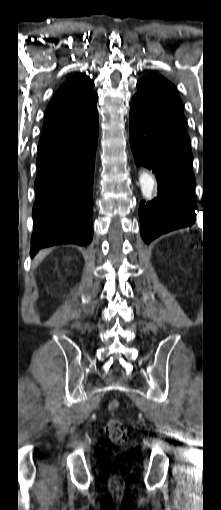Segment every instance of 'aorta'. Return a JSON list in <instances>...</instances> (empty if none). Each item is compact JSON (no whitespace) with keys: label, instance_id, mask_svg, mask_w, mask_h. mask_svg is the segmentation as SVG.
I'll use <instances>...</instances> for the list:
<instances>
[{"label":"aorta","instance_id":"obj_1","mask_svg":"<svg viewBox=\"0 0 221 510\" xmlns=\"http://www.w3.org/2000/svg\"><path fill=\"white\" fill-rule=\"evenodd\" d=\"M139 183L143 196L146 198H151L155 185V181L152 175H150L148 172L141 173L139 177Z\"/></svg>","mask_w":221,"mask_h":510}]
</instances>
